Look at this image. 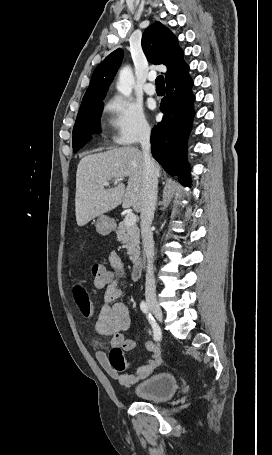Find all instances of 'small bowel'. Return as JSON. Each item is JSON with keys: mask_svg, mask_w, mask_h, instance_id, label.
<instances>
[{"mask_svg": "<svg viewBox=\"0 0 272 455\" xmlns=\"http://www.w3.org/2000/svg\"><path fill=\"white\" fill-rule=\"evenodd\" d=\"M108 263L113 270L112 278L105 286L104 303L96 313L94 333L111 337L113 346H120L127 352L136 347V341L126 339L124 336V332L130 327L131 317L127 305L119 301L122 296L119 278L123 274V263L116 252L109 254ZM73 296L82 315L89 317L94 313L89 294L83 286L76 285L73 289ZM145 348L151 353V356L146 364L139 366L133 372H122V370L114 368L103 351H97L95 358L112 378L121 385L131 386L151 375L162 362L157 345L146 341Z\"/></svg>", "mask_w": 272, "mask_h": 455, "instance_id": "obj_1", "label": "small bowel"}]
</instances>
